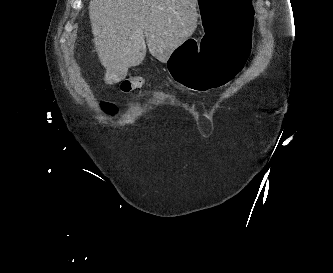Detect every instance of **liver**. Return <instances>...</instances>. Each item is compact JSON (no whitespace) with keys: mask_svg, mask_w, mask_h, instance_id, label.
I'll list each match as a JSON object with an SVG mask.
<instances>
[{"mask_svg":"<svg viewBox=\"0 0 333 273\" xmlns=\"http://www.w3.org/2000/svg\"><path fill=\"white\" fill-rule=\"evenodd\" d=\"M196 6L197 0H91L89 18L105 83L122 81L129 67L140 65L146 43L151 55L166 63L195 31Z\"/></svg>","mask_w":333,"mask_h":273,"instance_id":"liver-1","label":"liver"}]
</instances>
